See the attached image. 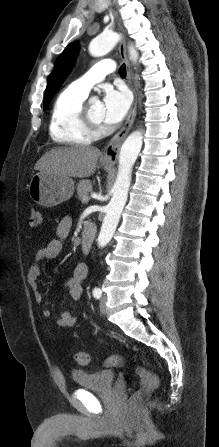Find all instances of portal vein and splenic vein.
Listing matches in <instances>:
<instances>
[{
	"instance_id": "18ae733b",
	"label": "portal vein and splenic vein",
	"mask_w": 219,
	"mask_h": 447,
	"mask_svg": "<svg viewBox=\"0 0 219 447\" xmlns=\"http://www.w3.org/2000/svg\"><path fill=\"white\" fill-rule=\"evenodd\" d=\"M88 201H89V196H88V195H86V196H84V197L82 198V202H83V203L88 202Z\"/></svg>"
}]
</instances>
